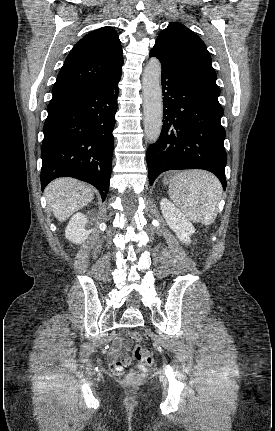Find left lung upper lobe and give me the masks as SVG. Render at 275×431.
<instances>
[{
    "instance_id": "obj_1",
    "label": "left lung upper lobe",
    "mask_w": 275,
    "mask_h": 431,
    "mask_svg": "<svg viewBox=\"0 0 275 431\" xmlns=\"http://www.w3.org/2000/svg\"><path fill=\"white\" fill-rule=\"evenodd\" d=\"M151 51L162 63L186 77L203 95L219 104L220 89L216 84L211 56L193 31L172 22L160 32Z\"/></svg>"
}]
</instances>
